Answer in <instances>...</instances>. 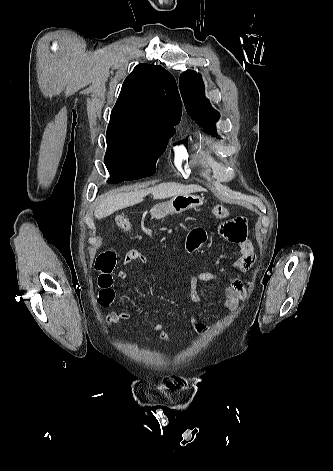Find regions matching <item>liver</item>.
<instances>
[{
	"label": "liver",
	"instance_id": "1",
	"mask_svg": "<svg viewBox=\"0 0 333 471\" xmlns=\"http://www.w3.org/2000/svg\"><path fill=\"white\" fill-rule=\"evenodd\" d=\"M205 189L198 185H183L175 182L161 183L155 187L132 192L106 193L101 197L100 203L95 208V218L98 220L110 216L114 212L136 205L143 201L148 194L153 195V199H165L176 195L191 194L201 192Z\"/></svg>",
	"mask_w": 333,
	"mask_h": 471
}]
</instances>
